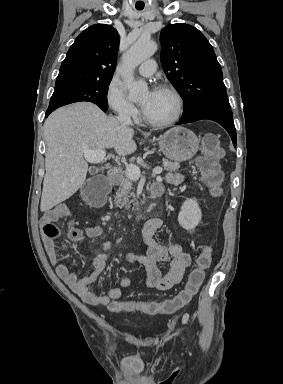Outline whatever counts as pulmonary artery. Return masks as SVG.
<instances>
[{
    "label": "pulmonary artery",
    "mask_w": 283,
    "mask_h": 384,
    "mask_svg": "<svg viewBox=\"0 0 283 384\" xmlns=\"http://www.w3.org/2000/svg\"><path fill=\"white\" fill-rule=\"evenodd\" d=\"M156 62L155 61H146L142 62L138 66V73L143 76H152L156 70Z\"/></svg>",
    "instance_id": "1"
}]
</instances>
